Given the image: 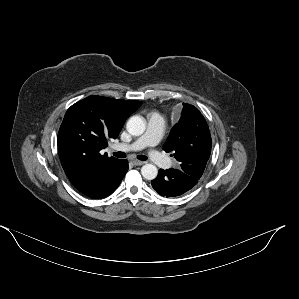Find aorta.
<instances>
[{
    "instance_id": "762f6f07",
    "label": "aorta",
    "mask_w": 299,
    "mask_h": 299,
    "mask_svg": "<svg viewBox=\"0 0 299 299\" xmlns=\"http://www.w3.org/2000/svg\"><path fill=\"white\" fill-rule=\"evenodd\" d=\"M127 131L133 136H140L146 129V122L140 116H132L126 125ZM141 174L146 180H153L157 177L158 169L153 164H145L141 168Z\"/></svg>"
}]
</instances>
